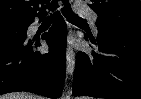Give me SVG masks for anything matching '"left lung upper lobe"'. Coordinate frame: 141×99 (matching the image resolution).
<instances>
[{"label":"left lung upper lobe","mask_w":141,"mask_h":99,"mask_svg":"<svg viewBox=\"0 0 141 99\" xmlns=\"http://www.w3.org/2000/svg\"><path fill=\"white\" fill-rule=\"evenodd\" d=\"M98 28L141 31L140 0H90Z\"/></svg>","instance_id":"5c2ea615"}]
</instances>
